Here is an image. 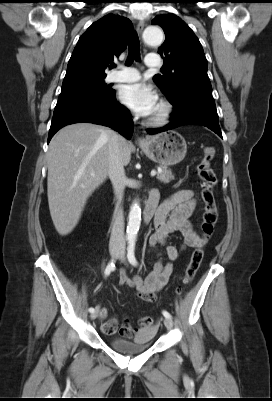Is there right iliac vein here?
<instances>
[{"mask_svg": "<svg viewBox=\"0 0 272 401\" xmlns=\"http://www.w3.org/2000/svg\"><path fill=\"white\" fill-rule=\"evenodd\" d=\"M119 252V248L118 246H113L110 249V254L113 258H115L118 255ZM98 315V309H96V311H94L93 313H91L90 318L91 319H95Z\"/></svg>", "mask_w": 272, "mask_h": 401, "instance_id": "obj_1", "label": "right iliac vein"}]
</instances>
